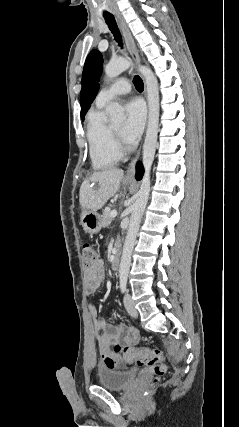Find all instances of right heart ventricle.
<instances>
[{
    "mask_svg": "<svg viewBox=\"0 0 239 427\" xmlns=\"http://www.w3.org/2000/svg\"><path fill=\"white\" fill-rule=\"evenodd\" d=\"M103 107L96 105L87 117L86 136L89 153L92 165L97 170L115 165L121 157L114 140L112 127L105 121Z\"/></svg>",
    "mask_w": 239,
    "mask_h": 427,
    "instance_id": "right-heart-ventricle-1",
    "label": "right heart ventricle"
}]
</instances>
